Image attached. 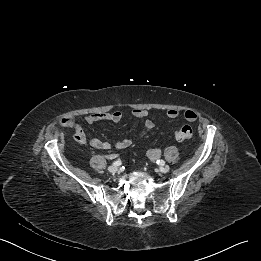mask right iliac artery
Segmentation results:
<instances>
[{
    "label": "right iliac artery",
    "instance_id": "1",
    "mask_svg": "<svg viewBox=\"0 0 261 261\" xmlns=\"http://www.w3.org/2000/svg\"><path fill=\"white\" fill-rule=\"evenodd\" d=\"M121 164H122L121 160H116L115 162H113V165L115 166H119Z\"/></svg>",
    "mask_w": 261,
    "mask_h": 261
}]
</instances>
